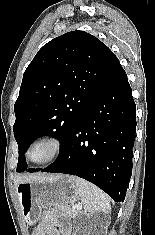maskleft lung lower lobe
<instances>
[{"mask_svg": "<svg viewBox=\"0 0 155 235\" xmlns=\"http://www.w3.org/2000/svg\"><path fill=\"white\" fill-rule=\"evenodd\" d=\"M136 105L120 65L94 96L56 161L42 171L86 179L123 202L132 173Z\"/></svg>", "mask_w": 155, "mask_h": 235, "instance_id": "1", "label": "left lung lower lobe"}]
</instances>
